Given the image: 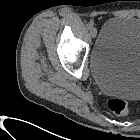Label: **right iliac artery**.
Instances as JSON below:
<instances>
[{"instance_id": "1", "label": "right iliac artery", "mask_w": 140, "mask_h": 140, "mask_svg": "<svg viewBox=\"0 0 140 140\" xmlns=\"http://www.w3.org/2000/svg\"><path fill=\"white\" fill-rule=\"evenodd\" d=\"M87 27H88V29L90 30V29L93 28V24H92V23H88Z\"/></svg>"}]
</instances>
